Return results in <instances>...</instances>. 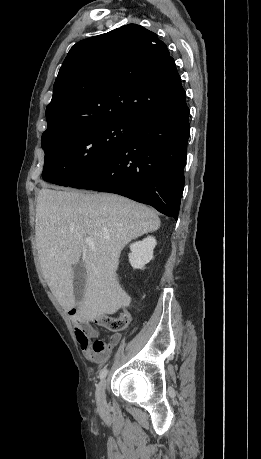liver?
<instances>
[{"label":"liver","instance_id":"obj_1","mask_svg":"<svg viewBox=\"0 0 261 459\" xmlns=\"http://www.w3.org/2000/svg\"><path fill=\"white\" fill-rule=\"evenodd\" d=\"M160 224L154 210L120 195L42 188L36 245L43 275L60 305L66 311L77 306V318L86 323L114 313L127 301L116 278L121 251ZM87 237L93 246L85 243ZM81 257L87 279L76 303L73 267Z\"/></svg>","mask_w":261,"mask_h":459}]
</instances>
